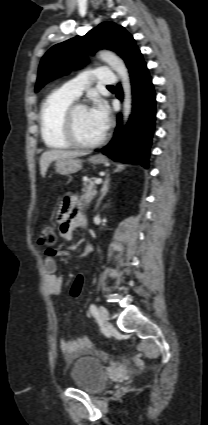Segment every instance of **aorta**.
Wrapping results in <instances>:
<instances>
[{
    "label": "aorta",
    "mask_w": 208,
    "mask_h": 425,
    "mask_svg": "<svg viewBox=\"0 0 208 425\" xmlns=\"http://www.w3.org/2000/svg\"><path fill=\"white\" fill-rule=\"evenodd\" d=\"M98 57L106 62L117 73L121 80L124 92L123 116L124 120L127 121L132 109V94L128 69L123 60L111 51L102 50L98 52Z\"/></svg>",
    "instance_id": "762f6f07"
}]
</instances>
